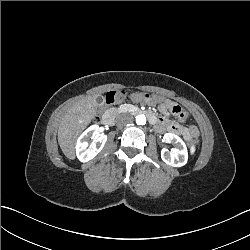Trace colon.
I'll return each mask as SVG.
<instances>
[{"instance_id": "colon-1", "label": "colon", "mask_w": 250, "mask_h": 250, "mask_svg": "<svg viewBox=\"0 0 250 250\" xmlns=\"http://www.w3.org/2000/svg\"><path fill=\"white\" fill-rule=\"evenodd\" d=\"M138 95H139V99H145V100L150 99L149 95L146 93H138ZM126 96H127V91L124 89L110 91V92L106 93V95L104 97V101L107 105H111V104H114L116 102L123 101L126 98ZM174 113L178 114V117L181 120L186 119V116L183 113H181V110L179 107L174 108ZM186 143L191 150L197 149V142L195 140L190 138L187 140Z\"/></svg>"}]
</instances>
